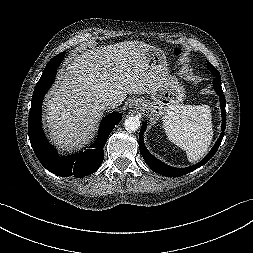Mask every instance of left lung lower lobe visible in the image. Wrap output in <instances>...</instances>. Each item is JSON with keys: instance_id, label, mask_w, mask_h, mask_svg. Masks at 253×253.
Masks as SVG:
<instances>
[{"instance_id": "obj_1", "label": "left lung lower lobe", "mask_w": 253, "mask_h": 253, "mask_svg": "<svg viewBox=\"0 0 253 253\" xmlns=\"http://www.w3.org/2000/svg\"><path fill=\"white\" fill-rule=\"evenodd\" d=\"M210 71L215 76V78L213 79V87L216 90V93L218 94V96L220 98V103H221V113H222L221 130H222V133H221L219 139L217 140V142L215 143V145L213 146L211 151L199 163H197L193 166L187 167V168H175V167H171V166L161 162L160 160H158L152 154L149 153V151L145 147V144L143 141V133L146 129V122H142L141 131H140V135H139V149H140L142 157L144 158L147 165L156 173L164 175V176H168V177H178V176L185 175V174L201 167L205 163H207L214 156L219 145L221 144V141L224 136V131L226 128V111H225L226 101H225V96L223 94L222 87H221V77H220L219 72L217 70H210Z\"/></svg>"}]
</instances>
